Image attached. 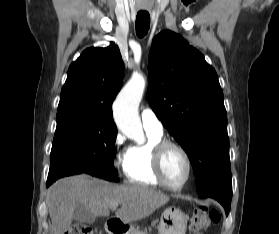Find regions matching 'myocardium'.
<instances>
[{
  "instance_id": "f54148a6",
  "label": "myocardium",
  "mask_w": 279,
  "mask_h": 234,
  "mask_svg": "<svg viewBox=\"0 0 279 234\" xmlns=\"http://www.w3.org/2000/svg\"><path fill=\"white\" fill-rule=\"evenodd\" d=\"M174 148L178 150L184 157L187 165V174L182 183L175 185L170 183L165 176L163 161L168 149ZM153 170L159 182L166 188L178 191L186 186L190 181L193 173V163L188 151L179 143L171 140L162 139L155 143L153 147Z\"/></svg>"
}]
</instances>
